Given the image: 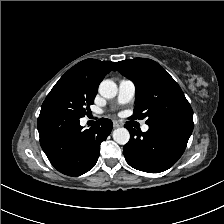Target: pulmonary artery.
Here are the masks:
<instances>
[{
  "label": "pulmonary artery",
  "mask_w": 224,
  "mask_h": 224,
  "mask_svg": "<svg viewBox=\"0 0 224 224\" xmlns=\"http://www.w3.org/2000/svg\"><path fill=\"white\" fill-rule=\"evenodd\" d=\"M135 95V85L131 80L123 79L119 82L117 101L119 104L130 102ZM142 131L146 132L149 129L147 124L142 125Z\"/></svg>",
  "instance_id": "pulmonary-artery-1"
}]
</instances>
